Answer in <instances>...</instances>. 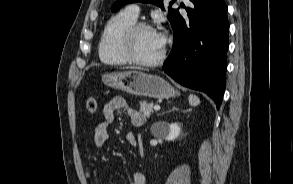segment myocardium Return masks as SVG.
Segmentation results:
<instances>
[{"instance_id":"obj_1","label":"myocardium","mask_w":293,"mask_h":184,"mask_svg":"<svg viewBox=\"0 0 293 184\" xmlns=\"http://www.w3.org/2000/svg\"><path fill=\"white\" fill-rule=\"evenodd\" d=\"M141 29H150L154 31V28L147 22L138 21L132 24L130 27L127 28L125 33L123 34L122 41H121V48L122 52L125 57L136 65L145 66V67H153L159 65L166 56V49L165 47L162 48L161 53L152 60H142L138 58L134 52V38L137 32Z\"/></svg>"}]
</instances>
